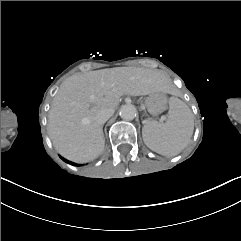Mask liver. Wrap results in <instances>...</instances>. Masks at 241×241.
<instances>
[{
	"label": "liver",
	"mask_w": 241,
	"mask_h": 241,
	"mask_svg": "<svg viewBox=\"0 0 241 241\" xmlns=\"http://www.w3.org/2000/svg\"><path fill=\"white\" fill-rule=\"evenodd\" d=\"M167 77L158 70L125 67L79 73L67 78L55 95L48 133L56 151L75 163L96 159L105 139L96 115L114 110L122 95L166 92Z\"/></svg>",
	"instance_id": "obj_1"
}]
</instances>
